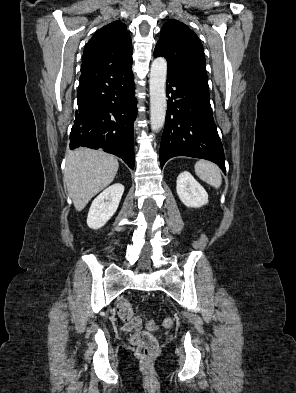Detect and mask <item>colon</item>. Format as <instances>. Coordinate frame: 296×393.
I'll return each instance as SVG.
<instances>
[{
    "label": "colon",
    "instance_id": "obj_1",
    "mask_svg": "<svg viewBox=\"0 0 296 393\" xmlns=\"http://www.w3.org/2000/svg\"><path fill=\"white\" fill-rule=\"evenodd\" d=\"M118 313L124 320L131 319L133 317V310L130 302L122 300L118 304ZM163 325L166 328H170L173 325V320L171 318H167L164 320ZM146 327L148 330L153 331L157 328V324L153 320H148L146 322ZM131 343L137 348L138 355L144 360L152 359L158 351L157 341L147 331L134 333L131 336Z\"/></svg>",
    "mask_w": 296,
    "mask_h": 393
}]
</instances>
